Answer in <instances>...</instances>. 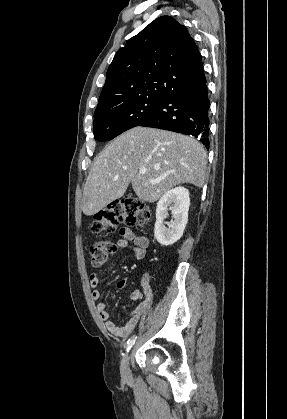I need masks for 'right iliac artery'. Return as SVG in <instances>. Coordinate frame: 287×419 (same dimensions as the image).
Segmentation results:
<instances>
[{"mask_svg": "<svg viewBox=\"0 0 287 419\" xmlns=\"http://www.w3.org/2000/svg\"><path fill=\"white\" fill-rule=\"evenodd\" d=\"M136 336L135 337H133V338H131V339H129L128 341H127V346H126V348H127V352L131 349V347L134 345V343H135V341H136Z\"/></svg>", "mask_w": 287, "mask_h": 419, "instance_id": "obj_1", "label": "right iliac artery"}]
</instances>
